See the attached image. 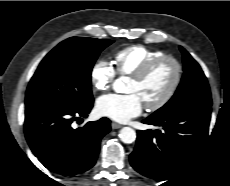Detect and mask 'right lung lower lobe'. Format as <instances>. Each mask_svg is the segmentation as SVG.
Wrapping results in <instances>:
<instances>
[{
    "instance_id": "right-lung-lower-lobe-1",
    "label": "right lung lower lobe",
    "mask_w": 230,
    "mask_h": 186,
    "mask_svg": "<svg viewBox=\"0 0 230 186\" xmlns=\"http://www.w3.org/2000/svg\"><path fill=\"white\" fill-rule=\"evenodd\" d=\"M93 101L80 107L47 102L26 106L24 131L33 154L50 171L76 175L96 162L101 138L110 131V120L101 118L73 129V120L87 117Z\"/></svg>"
}]
</instances>
